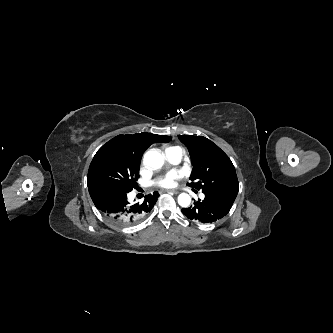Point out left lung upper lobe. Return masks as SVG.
<instances>
[{
  "label": "left lung upper lobe",
  "instance_id": "1",
  "mask_svg": "<svg viewBox=\"0 0 333 333\" xmlns=\"http://www.w3.org/2000/svg\"><path fill=\"white\" fill-rule=\"evenodd\" d=\"M188 148L193 165L187 185L214 194L236 198L239 184L229 157L212 141L203 136L178 135Z\"/></svg>",
  "mask_w": 333,
  "mask_h": 333
}]
</instances>
